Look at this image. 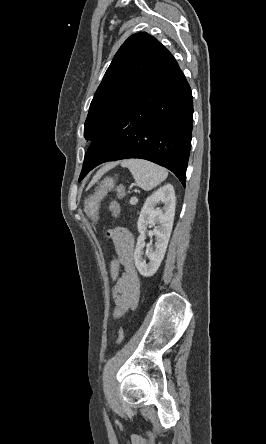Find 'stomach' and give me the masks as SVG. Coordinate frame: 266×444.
Returning a JSON list of instances; mask_svg holds the SVG:
<instances>
[{
    "label": "stomach",
    "mask_w": 266,
    "mask_h": 444,
    "mask_svg": "<svg viewBox=\"0 0 266 444\" xmlns=\"http://www.w3.org/2000/svg\"><path fill=\"white\" fill-rule=\"evenodd\" d=\"M115 186V181L113 178H105L99 187L96 189L95 193L85 200L84 210L87 216L93 220L98 217L99 202L103 199L108 191L112 190Z\"/></svg>",
    "instance_id": "1"
}]
</instances>
